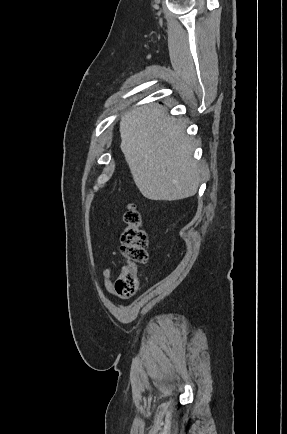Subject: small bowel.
<instances>
[{
	"label": "small bowel",
	"instance_id": "1",
	"mask_svg": "<svg viewBox=\"0 0 287 434\" xmlns=\"http://www.w3.org/2000/svg\"><path fill=\"white\" fill-rule=\"evenodd\" d=\"M111 276H112V271L110 269L107 268L103 271L104 288L108 293L112 294L113 293V284L111 281Z\"/></svg>",
	"mask_w": 287,
	"mask_h": 434
}]
</instances>
